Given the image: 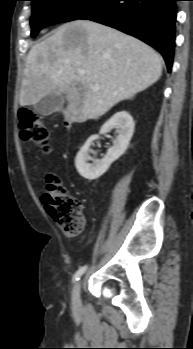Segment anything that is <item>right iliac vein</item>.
I'll list each match as a JSON object with an SVG mask.
<instances>
[{
    "instance_id": "1",
    "label": "right iliac vein",
    "mask_w": 193,
    "mask_h": 349,
    "mask_svg": "<svg viewBox=\"0 0 193 349\" xmlns=\"http://www.w3.org/2000/svg\"><path fill=\"white\" fill-rule=\"evenodd\" d=\"M80 292H81V281H77L73 286L72 296H71L72 308L74 310H79L81 307Z\"/></svg>"
}]
</instances>
